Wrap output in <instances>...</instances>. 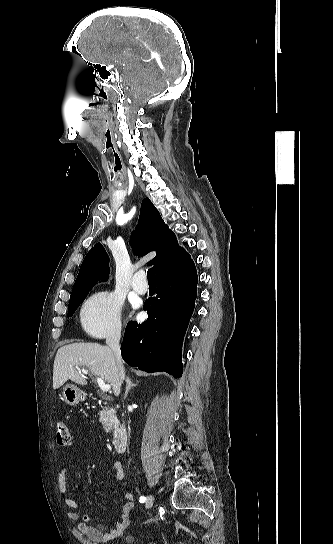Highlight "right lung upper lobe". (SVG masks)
Listing matches in <instances>:
<instances>
[{"mask_svg": "<svg viewBox=\"0 0 333 544\" xmlns=\"http://www.w3.org/2000/svg\"><path fill=\"white\" fill-rule=\"evenodd\" d=\"M131 243L138 255L157 252L150 261V264L155 265L157 277L192 261L186 251L178 246L175 234L169 230L148 198L142 201L139 224L132 233ZM108 261L103 246L96 244L81 264L71 296L89 291L98 280L106 281L109 274Z\"/></svg>", "mask_w": 333, "mask_h": 544, "instance_id": "cb5924a9", "label": "right lung upper lobe"}]
</instances>
